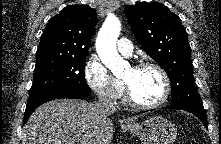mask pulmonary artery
<instances>
[{
  "label": "pulmonary artery",
  "mask_w": 221,
  "mask_h": 144,
  "mask_svg": "<svg viewBox=\"0 0 221 144\" xmlns=\"http://www.w3.org/2000/svg\"><path fill=\"white\" fill-rule=\"evenodd\" d=\"M117 49L125 57H130L133 53V45L127 38H120L117 42Z\"/></svg>",
  "instance_id": "obj_1"
}]
</instances>
